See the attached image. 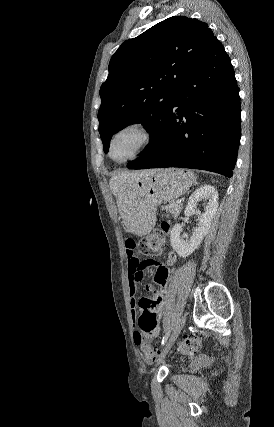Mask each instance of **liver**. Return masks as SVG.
I'll use <instances>...</instances> for the list:
<instances>
[{"mask_svg":"<svg viewBox=\"0 0 274 427\" xmlns=\"http://www.w3.org/2000/svg\"><path fill=\"white\" fill-rule=\"evenodd\" d=\"M152 172H154V170H144V172H119V174L112 176L109 186L110 190H112V194L117 198L118 208L121 206V202L125 200L126 190H132L134 176L143 178L145 174H152Z\"/></svg>","mask_w":274,"mask_h":427,"instance_id":"1","label":"liver"}]
</instances>
